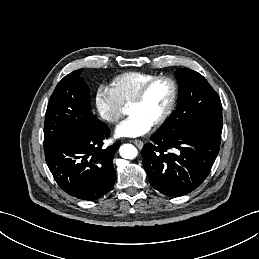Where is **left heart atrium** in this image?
<instances>
[{
    "label": "left heart atrium",
    "instance_id": "39dd6f15",
    "mask_svg": "<svg viewBox=\"0 0 259 259\" xmlns=\"http://www.w3.org/2000/svg\"><path fill=\"white\" fill-rule=\"evenodd\" d=\"M152 127V123L143 119L137 113L122 121L116 128L117 137H138L146 134Z\"/></svg>",
    "mask_w": 259,
    "mask_h": 259
}]
</instances>
